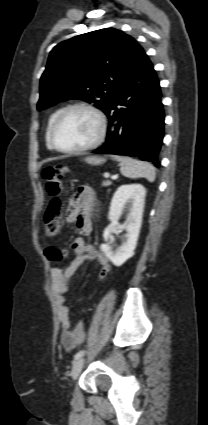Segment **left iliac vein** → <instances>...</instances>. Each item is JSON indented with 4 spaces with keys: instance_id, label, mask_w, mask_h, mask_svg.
<instances>
[{
    "instance_id": "obj_1",
    "label": "left iliac vein",
    "mask_w": 208,
    "mask_h": 425,
    "mask_svg": "<svg viewBox=\"0 0 208 425\" xmlns=\"http://www.w3.org/2000/svg\"><path fill=\"white\" fill-rule=\"evenodd\" d=\"M83 365H84V358L83 357L78 358L73 363L72 371H71V376H72L73 379H76L79 376V374H80V372L83 368Z\"/></svg>"
}]
</instances>
